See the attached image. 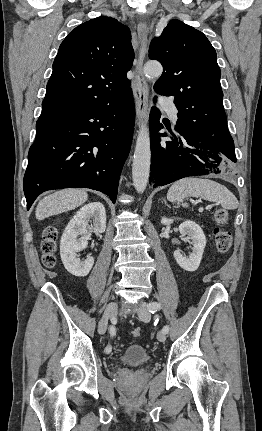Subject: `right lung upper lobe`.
<instances>
[{
    "instance_id": "obj_1",
    "label": "right lung upper lobe",
    "mask_w": 262,
    "mask_h": 431,
    "mask_svg": "<svg viewBox=\"0 0 262 431\" xmlns=\"http://www.w3.org/2000/svg\"><path fill=\"white\" fill-rule=\"evenodd\" d=\"M133 60L130 30L116 19L98 17L77 26L59 47L42 112L117 103L131 91L126 74Z\"/></svg>"
}]
</instances>
